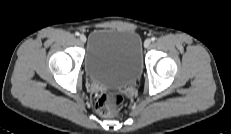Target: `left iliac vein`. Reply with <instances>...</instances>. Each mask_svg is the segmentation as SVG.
<instances>
[{
    "label": "left iliac vein",
    "instance_id": "obj_1",
    "mask_svg": "<svg viewBox=\"0 0 231 134\" xmlns=\"http://www.w3.org/2000/svg\"><path fill=\"white\" fill-rule=\"evenodd\" d=\"M151 44V40L150 39H146L145 42H144V47L145 48H148Z\"/></svg>",
    "mask_w": 231,
    "mask_h": 134
}]
</instances>
